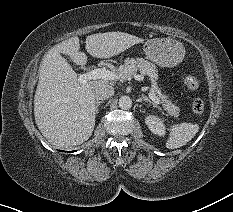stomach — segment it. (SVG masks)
I'll list each match as a JSON object with an SVG mask.
<instances>
[{"mask_svg":"<svg viewBox=\"0 0 233 212\" xmlns=\"http://www.w3.org/2000/svg\"><path fill=\"white\" fill-rule=\"evenodd\" d=\"M143 49L148 59L163 67L176 66L185 56L183 45L171 38L149 39Z\"/></svg>","mask_w":233,"mask_h":212,"instance_id":"stomach-1","label":"stomach"}]
</instances>
